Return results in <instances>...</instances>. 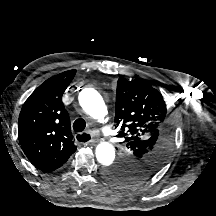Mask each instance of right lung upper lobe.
Masks as SVG:
<instances>
[{
    "mask_svg": "<svg viewBox=\"0 0 216 216\" xmlns=\"http://www.w3.org/2000/svg\"><path fill=\"white\" fill-rule=\"evenodd\" d=\"M76 70L42 83L24 103L18 121L19 141L29 161L39 170L61 167L76 151L70 118L61 99Z\"/></svg>",
    "mask_w": 216,
    "mask_h": 216,
    "instance_id": "right-lung-upper-lobe-1",
    "label": "right lung upper lobe"
}]
</instances>
